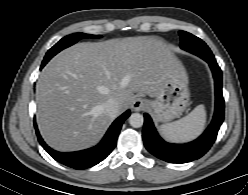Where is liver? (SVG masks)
<instances>
[{"mask_svg": "<svg viewBox=\"0 0 248 195\" xmlns=\"http://www.w3.org/2000/svg\"><path fill=\"white\" fill-rule=\"evenodd\" d=\"M181 68L171 49L154 37L78 43L57 54L40 73L39 130L59 151L93 146L115 118L103 112L108 99L118 102L119 115L132 103L134 93L156 97Z\"/></svg>", "mask_w": 248, "mask_h": 195, "instance_id": "liver-1", "label": "liver"}]
</instances>
